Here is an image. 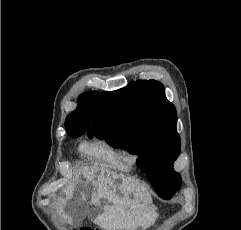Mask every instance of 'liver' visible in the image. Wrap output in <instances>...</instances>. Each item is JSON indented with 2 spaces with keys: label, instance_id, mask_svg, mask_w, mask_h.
Listing matches in <instances>:
<instances>
[{
  "label": "liver",
  "instance_id": "6515ba94",
  "mask_svg": "<svg viewBox=\"0 0 241 230\" xmlns=\"http://www.w3.org/2000/svg\"><path fill=\"white\" fill-rule=\"evenodd\" d=\"M82 172L93 184L90 204L95 208L89 215L96 214L95 224L105 230H137L139 226L146 229L154 224L156 217L150 206L151 197L140 183L99 167H84ZM74 191L75 185L66 188L63 207ZM81 200L85 201L84 194ZM102 200L107 203L102 205ZM64 218L68 224L73 223L69 213L64 212Z\"/></svg>",
  "mask_w": 241,
  "mask_h": 230
}]
</instances>
